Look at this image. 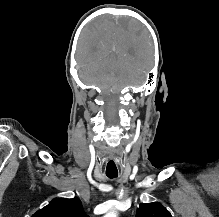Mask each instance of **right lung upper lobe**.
I'll return each mask as SVG.
<instances>
[{
  "instance_id": "obj_1",
  "label": "right lung upper lobe",
  "mask_w": 219,
  "mask_h": 217,
  "mask_svg": "<svg viewBox=\"0 0 219 217\" xmlns=\"http://www.w3.org/2000/svg\"><path fill=\"white\" fill-rule=\"evenodd\" d=\"M32 217H89L83 210L78 198L53 199L43 209L37 211Z\"/></svg>"
}]
</instances>
